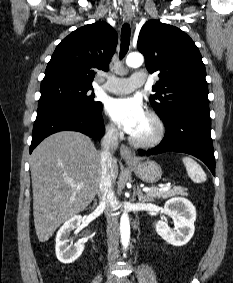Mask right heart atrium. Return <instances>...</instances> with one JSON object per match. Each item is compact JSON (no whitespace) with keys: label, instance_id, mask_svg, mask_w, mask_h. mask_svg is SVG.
<instances>
[{"label":"right heart atrium","instance_id":"obj_1","mask_svg":"<svg viewBox=\"0 0 233 283\" xmlns=\"http://www.w3.org/2000/svg\"><path fill=\"white\" fill-rule=\"evenodd\" d=\"M105 133L110 138H115L118 134L115 125L111 122L105 124Z\"/></svg>","mask_w":233,"mask_h":283}]
</instances>
